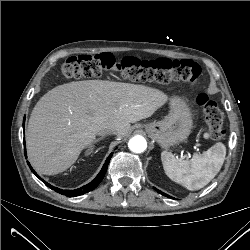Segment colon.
I'll return each mask as SVG.
<instances>
[{
    "label": "colon",
    "instance_id": "colon-1",
    "mask_svg": "<svg viewBox=\"0 0 250 250\" xmlns=\"http://www.w3.org/2000/svg\"><path fill=\"white\" fill-rule=\"evenodd\" d=\"M61 73L67 79L94 78L117 73L134 81L160 84L182 81L195 84L202 70L198 64L189 60H141L135 57L116 59L110 53H102L71 56L61 66ZM196 101L202 108L211 137L214 140L224 138L223 114L216 102L202 92L197 94Z\"/></svg>",
    "mask_w": 250,
    "mask_h": 250
}]
</instances>
